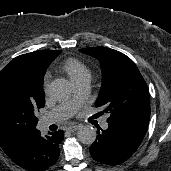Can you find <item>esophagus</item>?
<instances>
[{"label":"esophagus","mask_w":171,"mask_h":171,"mask_svg":"<svg viewBox=\"0 0 171 171\" xmlns=\"http://www.w3.org/2000/svg\"><path fill=\"white\" fill-rule=\"evenodd\" d=\"M80 128V125H70L66 127V131L68 132H74Z\"/></svg>","instance_id":"obj_1"}]
</instances>
